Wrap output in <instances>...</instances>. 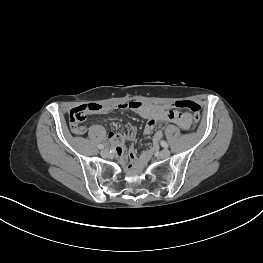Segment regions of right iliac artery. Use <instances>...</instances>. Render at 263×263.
<instances>
[{"label":"right iliac artery","instance_id":"obj_1","mask_svg":"<svg viewBox=\"0 0 263 263\" xmlns=\"http://www.w3.org/2000/svg\"><path fill=\"white\" fill-rule=\"evenodd\" d=\"M98 148H99V149H103V148H104V145L99 144V145H98Z\"/></svg>","mask_w":263,"mask_h":263}]
</instances>
